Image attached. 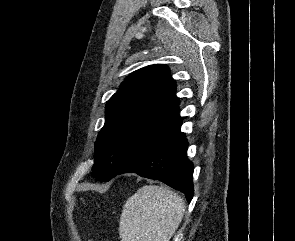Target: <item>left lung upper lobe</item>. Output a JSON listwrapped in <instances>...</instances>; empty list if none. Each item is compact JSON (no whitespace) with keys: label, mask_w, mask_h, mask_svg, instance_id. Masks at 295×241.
I'll return each instance as SVG.
<instances>
[{"label":"left lung upper lobe","mask_w":295,"mask_h":241,"mask_svg":"<svg viewBox=\"0 0 295 241\" xmlns=\"http://www.w3.org/2000/svg\"><path fill=\"white\" fill-rule=\"evenodd\" d=\"M176 83L166 65L131 73L106 105L95 143L93 173L103 182L154 140L182 124Z\"/></svg>","instance_id":"obj_1"}]
</instances>
